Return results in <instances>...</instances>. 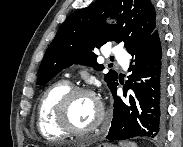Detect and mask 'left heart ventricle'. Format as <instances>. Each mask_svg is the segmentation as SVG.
Wrapping results in <instances>:
<instances>
[{
  "mask_svg": "<svg viewBox=\"0 0 183 147\" xmlns=\"http://www.w3.org/2000/svg\"><path fill=\"white\" fill-rule=\"evenodd\" d=\"M68 114L72 126L78 130H84L96 121L98 106L92 97L79 95L71 101Z\"/></svg>",
  "mask_w": 183,
  "mask_h": 147,
  "instance_id": "obj_1",
  "label": "left heart ventricle"
}]
</instances>
